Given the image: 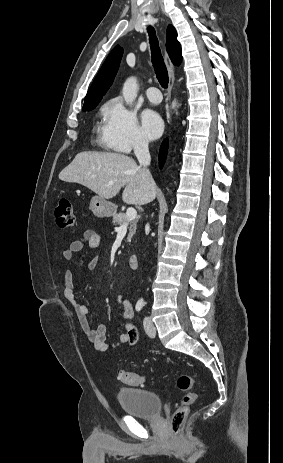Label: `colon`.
<instances>
[{"mask_svg": "<svg viewBox=\"0 0 283 463\" xmlns=\"http://www.w3.org/2000/svg\"><path fill=\"white\" fill-rule=\"evenodd\" d=\"M56 221L60 228H72L75 225V215L72 203L67 198H62L55 212ZM119 379L128 385L138 386L145 383L144 376L121 370L119 372ZM177 387L183 393L181 404L175 410L171 418L172 431L175 436H179L182 426L187 419L190 408L196 403L198 394L195 390V382L189 375H180L177 378Z\"/></svg>", "mask_w": 283, "mask_h": 463, "instance_id": "obj_1", "label": "colon"}]
</instances>
